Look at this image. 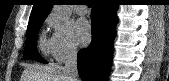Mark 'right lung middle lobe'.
<instances>
[{
    "label": "right lung middle lobe",
    "mask_w": 169,
    "mask_h": 81,
    "mask_svg": "<svg viewBox=\"0 0 169 81\" xmlns=\"http://www.w3.org/2000/svg\"><path fill=\"white\" fill-rule=\"evenodd\" d=\"M44 20L36 21L33 23L28 24L27 28V42L25 45V50H24V59H35L39 62L42 63H47L38 53L37 51V35L38 31L41 27V24L43 23Z\"/></svg>",
    "instance_id": "1"
}]
</instances>
